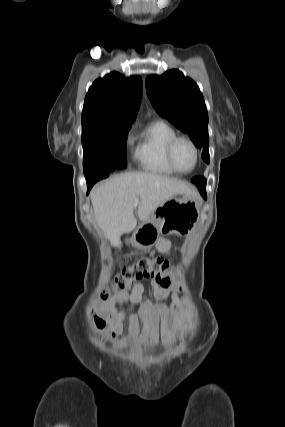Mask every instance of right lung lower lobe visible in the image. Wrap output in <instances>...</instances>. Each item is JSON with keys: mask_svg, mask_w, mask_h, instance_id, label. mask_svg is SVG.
Returning <instances> with one entry per match:
<instances>
[{"mask_svg": "<svg viewBox=\"0 0 285 427\" xmlns=\"http://www.w3.org/2000/svg\"><path fill=\"white\" fill-rule=\"evenodd\" d=\"M109 174H105L103 177H99V178L87 181V188H88L87 193H89V191L92 188V186L94 185V183H96L100 179H103V178L107 177Z\"/></svg>", "mask_w": 285, "mask_h": 427, "instance_id": "98d812e1", "label": "right lung lower lobe"}]
</instances>
